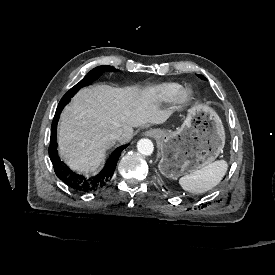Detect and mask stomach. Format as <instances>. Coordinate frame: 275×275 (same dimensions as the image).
I'll return each mask as SVG.
<instances>
[{
    "label": "stomach",
    "mask_w": 275,
    "mask_h": 275,
    "mask_svg": "<svg viewBox=\"0 0 275 275\" xmlns=\"http://www.w3.org/2000/svg\"><path fill=\"white\" fill-rule=\"evenodd\" d=\"M161 174L177 179L212 163L225 145V130L219 115L212 108L196 105L176 131L157 129Z\"/></svg>",
    "instance_id": "0dacf381"
}]
</instances>
